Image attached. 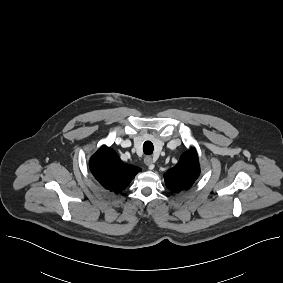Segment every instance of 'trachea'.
Wrapping results in <instances>:
<instances>
[{
  "label": "trachea",
  "mask_w": 283,
  "mask_h": 283,
  "mask_svg": "<svg viewBox=\"0 0 283 283\" xmlns=\"http://www.w3.org/2000/svg\"><path fill=\"white\" fill-rule=\"evenodd\" d=\"M153 150H154V146H153L152 142L146 141V142L143 144V152H144L146 155H151V154L153 153Z\"/></svg>",
  "instance_id": "1"
}]
</instances>
